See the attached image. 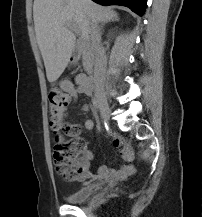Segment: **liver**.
I'll return each instance as SVG.
<instances>
[{
	"label": "liver",
	"instance_id": "liver-1",
	"mask_svg": "<svg viewBox=\"0 0 202 217\" xmlns=\"http://www.w3.org/2000/svg\"><path fill=\"white\" fill-rule=\"evenodd\" d=\"M117 18L111 8L92 0H34L33 19L36 39L49 82L56 81L65 70L75 47V35L67 28L77 27L88 39L91 24Z\"/></svg>",
	"mask_w": 202,
	"mask_h": 217
}]
</instances>
